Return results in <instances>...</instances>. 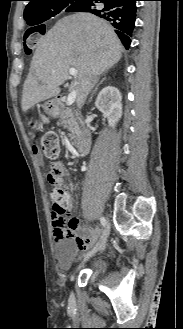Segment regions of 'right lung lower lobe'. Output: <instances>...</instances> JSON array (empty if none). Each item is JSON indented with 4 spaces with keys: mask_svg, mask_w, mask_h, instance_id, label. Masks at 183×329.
I'll return each instance as SVG.
<instances>
[{
    "mask_svg": "<svg viewBox=\"0 0 183 329\" xmlns=\"http://www.w3.org/2000/svg\"><path fill=\"white\" fill-rule=\"evenodd\" d=\"M138 0H83L72 12H88L109 21L123 45L130 46ZM33 32V31H31Z\"/></svg>",
    "mask_w": 183,
    "mask_h": 329,
    "instance_id": "1",
    "label": "right lung lower lobe"
}]
</instances>
